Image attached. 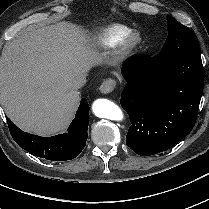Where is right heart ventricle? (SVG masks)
<instances>
[{
	"label": "right heart ventricle",
	"instance_id": "right-heart-ventricle-1",
	"mask_svg": "<svg viewBox=\"0 0 209 209\" xmlns=\"http://www.w3.org/2000/svg\"><path fill=\"white\" fill-rule=\"evenodd\" d=\"M132 31V28L125 24H113L94 35L93 40L101 45L114 44L120 37Z\"/></svg>",
	"mask_w": 209,
	"mask_h": 209
}]
</instances>
